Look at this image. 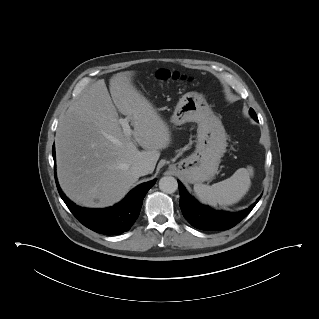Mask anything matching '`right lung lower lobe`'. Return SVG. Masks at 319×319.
<instances>
[{
  "label": "right lung lower lobe",
  "instance_id": "right-lung-lower-lobe-1",
  "mask_svg": "<svg viewBox=\"0 0 319 319\" xmlns=\"http://www.w3.org/2000/svg\"><path fill=\"white\" fill-rule=\"evenodd\" d=\"M52 153L55 162L54 145ZM154 184L155 180L138 185L123 201L106 209L81 208L71 202L64 193H62L58 183L57 188L69 210L84 226L97 233L119 235L128 231L138 218L142 200Z\"/></svg>",
  "mask_w": 319,
  "mask_h": 319
}]
</instances>
